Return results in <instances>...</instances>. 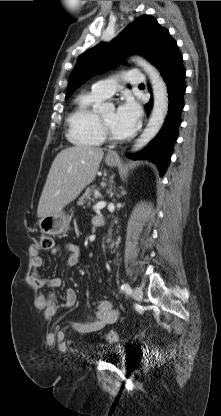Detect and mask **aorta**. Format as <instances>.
I'll return each mask as SVG.
<instances>
[{
  "label": "aorta",
  "instance_id": "1",
  "mask_svg": "<svg viewBox=\"0 0 221 416\" xmlns=\"http://www.w3.org/2000/svg\"><path fill=\"white\" fill-rule=\"evenodd\" d=\"M133 60L148 75L154 98L152 114L148 124L132 148V152H137L145 147L161 129L168 112V92L166 83L152 64L140 57Z\"/></svg>",
  "mask_w": 221,
  "mask_h": 416
}]
</instances>
